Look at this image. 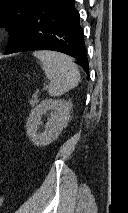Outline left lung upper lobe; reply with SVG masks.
Segmentation results:
<instances>
[{
  "label": "left lung upper lobe",
  "instance_id": "obj_1",
  "mask_svg": "<svg viewBox=\"0 0 128 213\" xmlns=\"http://www.w3.org/2000/svg\"><path fill=\"white\" fill-rule=\"evenodd\" d=\"M37 1L0 0V27H6L10 36L7 48L15 40Z\"/></svg>",
  "mask_w": 128,
  "mask_h": 213
}]
</instances>
